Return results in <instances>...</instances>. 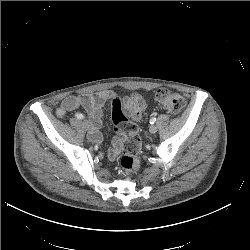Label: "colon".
I'll use <instances>...</instances> for the list:
<instances>
[{
  "label": "colon",
  "instance_id": "1",
  "mask_svg": "<svg viewBox=\"0 0 250 250\" xmlns=\"http://www.w3.org/2000/svg\"><path fill=\"white\" fill-rule=\"evenodd\" d=\"M161 106L171 114L180 113L185 107V99L177 92L159 89L155 95ZM144 104L141 95L133 94L121 98L118 94L111 98V113L114 131L120 136L122 150L120 166L127 175L134 174L140 167L141 139L134 123Z\"/></svg>",
  "mask_w": 250,
  "mask_h": 250
}]
</instances>
